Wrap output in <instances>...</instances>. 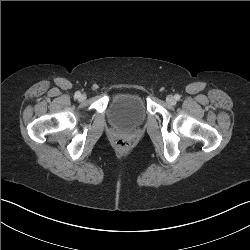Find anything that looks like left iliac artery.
Listing matches in <instances>:
<instances>
[{"mask_svg": "<svg viewBox=\"0 0 250 250\" xmlns=\"http://www.w3.org/2000/svg\"><path fill=\"white\" fill-rule=\"evenodd\" d=\"M174 98H175L176 100H179V99H180V95H179V94H176V95L174 96Z\"/></svg>", "mask_w": 250, "mask_h": 250, "instance_id": "1", "label": "left iliac artery"}]
</instances>
